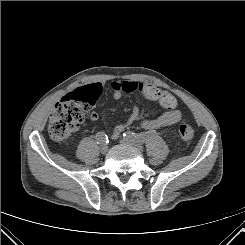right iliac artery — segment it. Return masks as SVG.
Returning <instances> with one entry per match:
<instances>
[{
	"instance_id": "right-iliac-artery-1",
	"label": "right iliac artery",
	"mask_w": 245,
	"mask_h": 245,
	"mask_svg": "<svg viewBox=\"0 0 245 245\" xmlns=\"http://www.w3.org/2000/svg\"><path fill=\"white\" fill-rule=\"evenodd\" d=\"M96 141L100 145L107 144L109 142L107 135L104 132H98L96 134Z\"/></svg>"
}]
</instances>
